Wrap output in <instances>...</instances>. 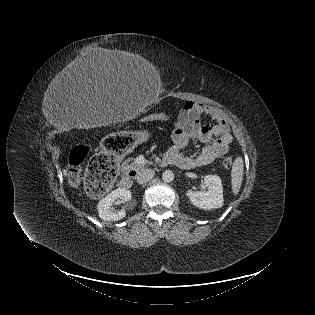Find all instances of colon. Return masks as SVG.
Listing matches in <instances>:
<instances>
[{"mask_svg": "<svg viewBox=\"0 0 315 315\" xmlns=\"http://www.w3.org/2000/svg\"><path fill=\"white\" fill-rule=\"evenodd\" d=\"M166 118L164 114H157L146 119L147 122L163 120ZM86 146H75L69 157V181L72 185H76L80 179V169L86 156L88 155ZM233 164L231 157L223 160V166L230 168ZM118 172L117 163L114 158L108 157L101 153L94 156L86 170L84 184L89 194L101 196L105 194L112 186Z\"/></svg>", "mask_w": 315, "mask_h": 315, "instance_id": "5ec220e1", "label": "colon"}]
</instances>
